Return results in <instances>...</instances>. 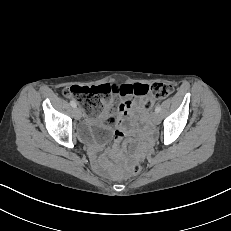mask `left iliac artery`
<instances>
[{"instance_id": "1", "label": "left iliac artery", "mask_w": 231, "mask_h": 231, "mask_svg": "<svg viewBox=\"0 0 231 231\" xmlns=\"http://www.w3.org/2000/svg\"><path fill=\"white\" fill-rule=\"evenodd\" d=\"M155 111L160 112L161 111V106L160 105L156 106Z\"/></svg>"}]
</instances>
